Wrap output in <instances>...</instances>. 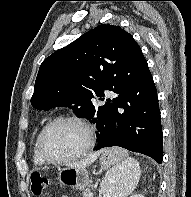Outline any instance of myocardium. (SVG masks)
Masks as SVG:
<instances>
[{
    "instance_id": "myocardium-1",
    "label": "myocardium",
    "mask_w": 191,
    "mask_h": 197,
    "mask_svg": "<svg viewBox=\"0 0 191 197\" xmlns=\"http://www.w3.org/2000/svg\"><path fill=\"white\" fill-rule=\"evenodd\" d=\"M68 121L76 122V123L80 124L85 129L86 135H87V143H86L85 147L80 152H78L70 157L59 158V159L52 158L45 152V150L43 148L44 136L47 133V131L51 127H53L54 125L61 123V122H68ZM94 145H95V134H94L93 127L84 118L77 116V115H62V116H58V117L52 119L41 129V131L37 137V142H36V147H37V151H38L40 158L45 163L53 164V165L65 164V163H69V162L78 160V159L82 158L83 156H85L86 154H88L91 151V149L94 147Z\"/></svg>"
}]
</instances>
